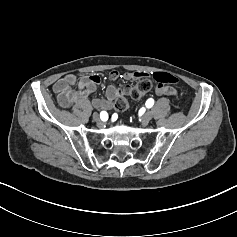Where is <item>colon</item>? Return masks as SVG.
Instances as JSON below:
<instances>
[{
	"mask_svg": "<svg viewBox=\"0 0 237 237\" xmlns=\"http://www.w3.org/2000/svg\"><path fill=\"white\" fill-rule=\"evenodd\" d=\"M152 77L160 84H176L178 82V79L175 76L166 72H155L152 74ZM151 88V80L144 78L128 89V95L133 99H139L147 94ZM128 106L129 101L126 96L119 97L114 104L115 110L119 112L125 111Z\"/></svg>",
	"mask_w": 237,
	"mask_h": 237,
	"instance_id": "1",
	"label": "colon"
}]
</instances>
